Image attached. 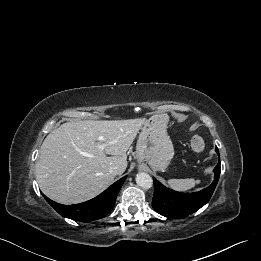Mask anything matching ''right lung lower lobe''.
Wrapping results in <instances>:
<instances>
[{
	"instance_id": "obj_1",
	"label": "right lung lower lobe",
	"mask_w": 261,
	"mask_h": 261,
	"mask_svg": "<svg viewBox=\"0 0 261 261\" xmlns=\"http://www.w3.org/2000/svg\"><path fill=\"white\" fill-rule=\"evenodd\" d=\"M126 176L112 184L97 197L76 205H62L46 196L47 202L62 216L78 221H93L105 217L114 207L117 194Z\"/></svg>"
}]
</instances>
